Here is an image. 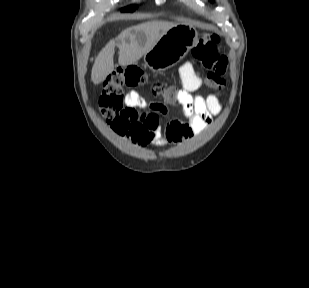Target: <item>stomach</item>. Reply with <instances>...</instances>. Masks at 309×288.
<instances>
[{
    "mask_svg": "<svg viewBox=\"0 0 309 288\" xmlns=\"http://www.w3.org/2000/svg\"><path fill=\"white\" fill-rule=\"evenodd\" d=\"M198 41L196 28L178 23L163 34L144 55V62L153 71H164L182 60Z\"/></svg>",
    "mask_w": 309,
    "mask_h": 288,
    "instance_id": "stomach-1",
    "label": "stomach"
}]
</instances>
